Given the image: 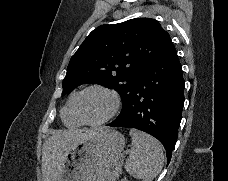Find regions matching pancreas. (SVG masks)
Here are the masks:
<instances>
[{"mask_svg":"<svg viewBox=\"0 0 228 181\" xmlns=\"http://www.w3.org/2000/svg\"><path fill=\"white\" fill-rule=\"evenodd\" d=\"M119 175H121L120 167L115 169V171H113V173H110V175L108 177V181H115V179H118Z\"/></svg>","mask_w":228,"mask_h":181,"instance_id":"cf45deb5","label":"pancreas"}]
</instances>
